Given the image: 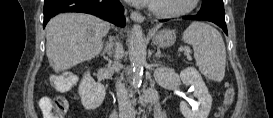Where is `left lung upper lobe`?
I'll list each match as a JSON object with an SVG mask.
<instances>
[{
    "mask_svg": "<svg viewBox=\"0 0 273 118\" xmlns=\"http://www.w3.org/2000/svg\"><path fill=\"white\" fill-rule=\"evenodd\" d=\"M198 13L225 19L223 0H202V6Z\"/></svg>",
    "mask_w": 273,
    "mask_h": 118,
    "instance_id": "5c2ea615",
    "label": "left lung upper lobe"
}]
</instances>
